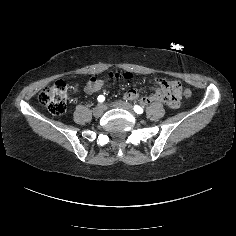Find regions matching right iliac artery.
I'll list each match as a JSON object with an SVG mask.
<instances>
[{
  "instance_id": "82829eb1",
  "label": "right iliac artery",
  "mask_w": 236,
  "mask_h": 236,
  "mask_svg": "<svg viewBox=\"0 0 236 236\" xmlns=\"http://www.w3.org/2000/svg\"><path fill=\"white\" fill-rule=\"evenodd\" d=\"M98 101L103 102L105 100V97L103 95L98 96Z\"/></svg>"
}]
</instances>
